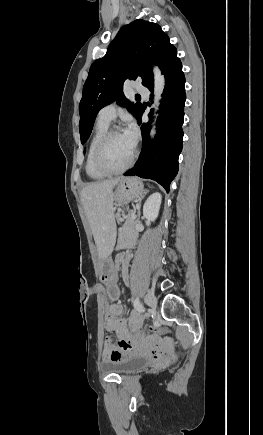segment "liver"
Masks as SVG:
<instances>
[{"mask_svg":"<svg viewBox=\"0 0 263 435\" xmlns=\"http://www.w3.org/2000/svg\"><path fill=\"white\" fill-rule=\"evenodd\" d=\"M120 180L114 178L89 183L80 195L101 260L110 256L116 241L113 188Z\"/></svg>","mask_w":263,"mask_h":435,"instance_id":"obj_1","label":"liver"}]
</instances>
